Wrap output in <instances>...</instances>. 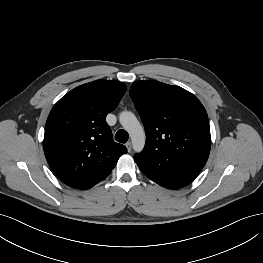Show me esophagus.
<instances>
[{"label":"esophagus","instance_id":"esophagus-1","mask_svg":"<svg viewBox=\"0 0 263 263\" xmlns=\"http://www.w3.org/2000/svg\"><path fill=\"white\" fill-rule=\"evenodd\" d=\"M125 146H126L128 152H130L131 149H132V143L129 141V142H127V143L125 144Z\"/></svg>","mask_w":263,"mask_h":263}]
</instances>
